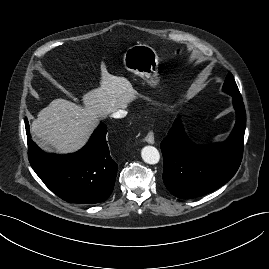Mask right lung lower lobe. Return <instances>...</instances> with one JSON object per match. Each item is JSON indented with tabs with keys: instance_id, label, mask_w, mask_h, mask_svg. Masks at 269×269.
Segmentation results:
<instances>
[{
	"instance_id": "obj_1",
	"label": "right lung lower lobe",
	"mask_w": 269,
	"mask_h": 269,
	"mask_svg": "<svg viewBox=\"0 0 269 269\" xmlns=\"http://www.w3.org/2000/svg\"><path fill=\"white\" fill-rule=\"evenodd\" d=\"M25 127L29 162L53 193L67 202L80 204L100 203L110 196L118 165L110 156L107 127L103 123L81 150L67 155L43 152L31 139L27 118Z\"/></svg>"
}]
</instances>
